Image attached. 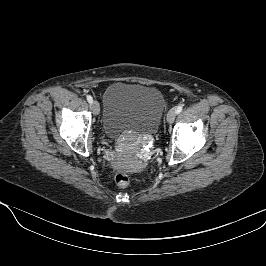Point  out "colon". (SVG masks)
<instances>
[{"label": "colon", "mask_w": 266, "mask_h": 266, "mask_svg": "<svg viewBox=\"0 0 266 266\" xmlns=\"http://www.w3.org/2000/svg\"><path fill=\"white\" fill-rule=\"evenodd\" d=\"M115 182L120 187H127L131 184V178L124 171H118L115 174Z\"/></svg>", "instance_id": "obj_1"}]
</instances>
